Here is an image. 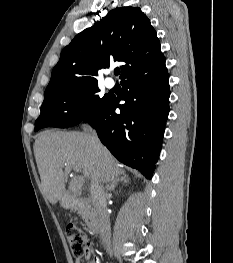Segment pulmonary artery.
Returning a JSON list of instances; mask_svg holds the SVG:
<instances>
[{
	"instance_id": "e3ab8cb5",
	"label": "pulmonary artery",
	"mask_w": 233,
	"mask_h": 263,
	"mask_svg": "<svg viewBox=\"0 0 233 263\" xmlns=\"http://www.w3.org/2000/svg\"><path fill=\"white\" fill-rule=\"evenodd\" d=\"M105 85H106L107 88L111 89V88L114 87L115 82H114V80L112 78H107L105 80Z\"/></svg>"
}]
</instances>
